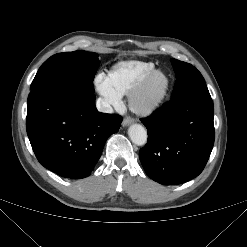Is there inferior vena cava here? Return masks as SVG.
Listing matches in <instances>:
<instances>
[{"label": "inferior vena cava", "mask_w": 247, "mask_h": 247, "mask_svg": "<svg viewBox=\"0 0 247 247\" xmlns=\"http://www.w3.org/2000/svg\"><path fill=\"white\" fill-rule=\"evenodd\" d=\"M96 107L100 112H104V113H113V108L112 106L108 103V101H106L103 98H99L96 101Z\"/></svg>", "instance_id": "obj_1"}]
</instances>
